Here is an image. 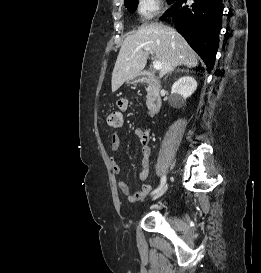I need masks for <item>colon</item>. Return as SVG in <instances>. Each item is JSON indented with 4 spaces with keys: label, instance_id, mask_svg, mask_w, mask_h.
<instances>
[{
    "label": "colon",
    "instance_id": "5ec220e1",
    "mask_svg": "<svg viewBox=\"0 0 261 273\" xmlns=\"http://www.w3.org/2000/svg\"><path fill=\"white\" fill-rule=\"evenodd\" d=\"M108 124L113 128H118L122 124V113L120 111H113L108 116Z\"/></svg>",
    "mask_w": 261,
    "mask_h": 273
}]
</instances>
